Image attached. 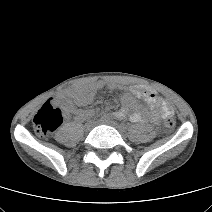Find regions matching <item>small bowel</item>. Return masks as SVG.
<instances>
[{
  "instance_id": "c3829d8e",
  "label": "small bowel",
  "mask_w": 212,
  "mask_h": 212,
  "mask_svg": "<svg viewBox=\"0 0 212 212\" xmlns=\"http://www.w3.org/2000/svg\"><path fill=\"white\" fill-rule=\"evenodd\" d=\"M117 88L122 89L124 93L121 96V107L113 113L115 118L123 119L128 116L130 110H133V113L130 115L131 121H151L154 124H160L163 118L171 117L174 113L168 101L160 97L154 91L138 87H120L115 82L99 80L94 83L78 85L61 96L60 103L64 117L69 118L75 116L77 120H83L88 117L92 111L82 108L89 105L94 100L99 90H115ZM137 99L144 100L152 108L158 107L160 110L159 114L149 113L143 110L137 104Z\"/></svg>"
}]
</instances>
